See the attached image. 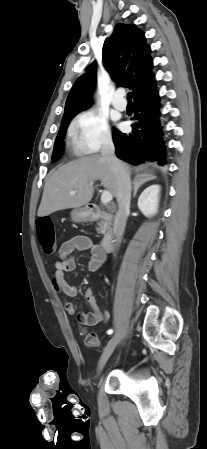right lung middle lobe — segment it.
I'll return each mask as SVG.
<instances>
[{
	"instance_id": "1",
	"label": "right lung middle lobe",
	"mask_w": 207,
	"mask_h": 449,
	"mask_svg": "<svg viewBox=\"0 0 207 449\" xmlns=\"http://www.w3.org/2000/svg\"><path fill=\"white\" fill-rule=\"evenodd\" d=\"M69 117L67 119L62 120V124L60 126L59 132L57 134L56 140H55V144H54V149H53V154H52V162H56L57 160L60 159V157L63 154V146H64V136L66 133V128L70 122V120L73 118Z\"/></svg>"
}]
</instances>
